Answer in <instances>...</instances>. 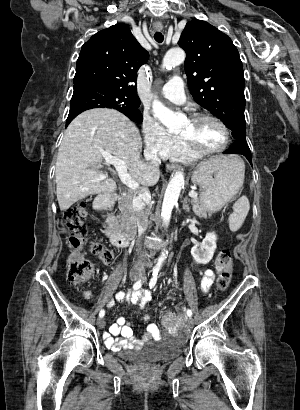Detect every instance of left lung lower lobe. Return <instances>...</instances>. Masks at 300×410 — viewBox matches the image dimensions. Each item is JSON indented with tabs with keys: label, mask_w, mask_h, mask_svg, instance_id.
I'll use <instances>...</instances> for the list:
<instances>
[{
	"label": "left lung lower lobe",
	"mask_w": 300,
	"mask_h": 410,
	"mask_svg": "<svg viewBox=\"0 0 300 410\" xmlns=\"http://www.w3.org/2000/svg\"><path fill=\"white\" fill-rule=\"evenodd\" d=\"M223 153L225 154H242L244 155L248 161L252 164V159H251V153L249 146L246 144V142L242 141H235L233 146Z\"/></svg>",
	"instance_id": "1"
}]
</instances>
